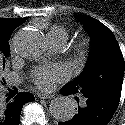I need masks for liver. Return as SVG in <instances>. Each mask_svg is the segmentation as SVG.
<instances>
[{"instance_id": "6515ba94", "label": "liver", "mask_w": 125, "mask_h": 125, "mask_svg": "<svg viewBox=\"0 0 125 125\" xmlns=\"http://www.w3.org/2000/svg\"><path fill=\"white\" fill-rule=\"evenodd\" d=\"M0 58H1V56H0ZM1 69H2V63H1V60H0V71H1Z\"/></svg>"}]
</instances>
